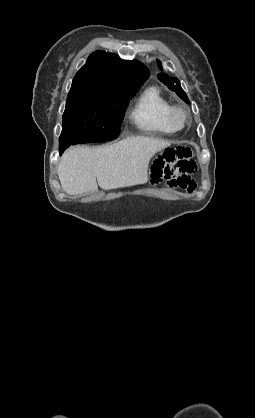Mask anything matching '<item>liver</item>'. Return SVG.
Here are the masks:
<instances>
[{
	"label": "liver",
	"mask_w": 255,
	"mask_h": 418,
	"mask_svg": "<svg viewBox=\"0 0 255 418\" xmlns=\"http://www.w3.org/2000/svg\"><path fill=\"white\" fill-rule=\"evenodd\" d=\"M166 140L129 137L109 146L68 149L58 166L63 190L70 195L145 184L151 158L169 147ZM97 179V182H96Z\"/></svg>",
	"instance_id": "1"
}]
</instances>
